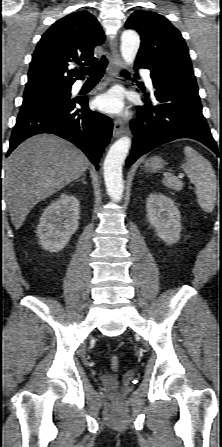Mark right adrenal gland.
I'll list each match as a JSON object with an SVG mask.
<instances>
[{"label": "right adrenal gland", "mask_w": 222, "mask_h": 447, "mask_svg": "<svg viewBox=\"0 0 222 447\" xmlns=\"http://www.w3.org/2000/svg\"><path fill=\"white\" fill-rule=\"evenodd\" d=\"M85 177H86V175L84 174V175L81 177V179H79V180H77V181H81L83 184H87L86 181H85Z\"/></svg>", "instance_id": "1"}]
</instances>
